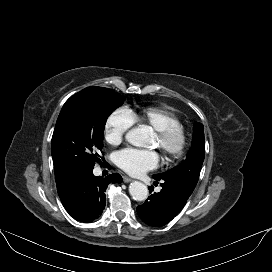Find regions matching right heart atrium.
<instances>
[{
    "label": "right heart atrium",
    "instance_id": "d8ad5b80",
    "mask_svg": "<svg viewBox=\"0 0 272 272\" xmlns=\"http://www.w3.org/2000/svg\"><path fill=\"white\" fill-rule=\"evenodd\" d=\"M133 124L127 110L115 109L104 124V140L110 145L120 144Z\"/></svg>",
    "mask_w": 272,
    "mask_h": 272
}]
</instances>
